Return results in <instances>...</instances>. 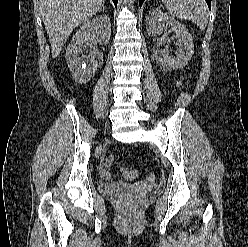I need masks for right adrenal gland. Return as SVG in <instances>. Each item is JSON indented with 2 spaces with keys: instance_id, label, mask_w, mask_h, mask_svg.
I'll use <instances>...</instances> for the list:
<instances>
[{
  "instance_id": "obj_1",
  "label": "right adrenal gland",
  "mask_w": 248,
  "mask_h": 247,
  "mask_svg": "<svg viewBox=\"0 0 248 247\" xmlns=\"http://www.w3.org/2000/svg\"><path fill=\"white\" fill-rule=\"evenodd\" d=\"M105 3H104V1H103V3H102V6H101V8H100V11L103 9V11H105Z\"/></svg>"
}]
</instances>
